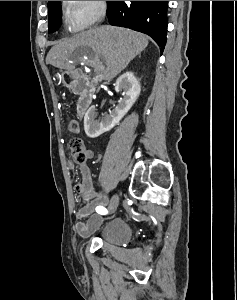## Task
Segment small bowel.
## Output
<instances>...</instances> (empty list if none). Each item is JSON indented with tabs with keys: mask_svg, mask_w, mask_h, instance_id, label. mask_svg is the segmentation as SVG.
<instances>
[{
	"mask_svg": "<svg viewBox=\"0 0 237 300\" xmlns=\"http://www.w3.org/2000/svg\"><path fill=\"white\" fill-rule=\"evenodd\" d=\"M68 129L72 133H78L79 123L75 120L70 121ZM93 156L94 152L92 150H86L87 159ZM77 169L81 175V181L76 184L75 190L81 197L82 206L76 212L78 220L76 230L80 236L87 237L102 223V217L96 213V208L99 206L103 207L108 203L105 191L112 185V182L104 179L101 189L96 190L93 186L91 171L87 163H78Z\"/></svg>",
	"mask_w": 237,
	"mask_h": 300,
	"instance_id": "1",
	"label": "small bowel"
}]
</instances>
